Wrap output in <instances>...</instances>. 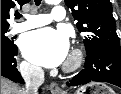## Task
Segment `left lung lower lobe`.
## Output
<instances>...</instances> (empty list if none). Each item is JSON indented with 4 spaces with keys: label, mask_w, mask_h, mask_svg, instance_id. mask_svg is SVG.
Segmentation results:
<instances>
[{
    "label": "left lung lower lobe",
    "mask_w": 121,
    "mask_h": 94,
    "mask_svg": "<svg viewBox=\"0 0 121 94\" xmlns=\"http://www.w3.org/2000/svg\"><path fill=\"white\" fill-rule=\"evenodd\" d=\"M92 81L108 82L121 87V52L87 53L84 69L67 85L73 87Z\"/></svg>",
    "instance_id": "0a47b994"
}]
</instances>
